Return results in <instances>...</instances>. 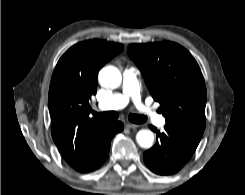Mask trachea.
Here are the masks:
<instances>
[{
	"label": "trachea",
	"mask_w": 245,
	"mask_h": 195,
	"mask_svg": "<svg viewBox=\"0 0 245 195\" xmlns=\"http://www.w3.org/2000/svg\"><path fill=\"white\" fill-rule=\"evenodd\" d=\"M93 114L96 118L103 119V120H116L119 116V114L115 111H108V112H103V113L93 112ZM128 119L131 122L137 123V124L144 123L147 120V118L142 115H133V114H130L128 116Z\"/></svg>",
	"instance_id": "3493384b"
}]
</instances>
